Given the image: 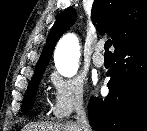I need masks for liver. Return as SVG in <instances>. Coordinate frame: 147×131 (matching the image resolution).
Instances as JSON below:
<instances>
[{"instance_id":"6515ba94","label":"liver","mask_w":147,"mask_h":131,"mask_svg":"<svg viewBox=\"0 0 147 131\" xmlns=\"http://www.w3.org/2000/svg\"><path fill=\"white\" fill-rule=\"evenodd\" d=\"M22 131H80L78 124L67 122L64 124H53L47 122L29 123L22 128Z\"/></svg>"}]
</instances>
